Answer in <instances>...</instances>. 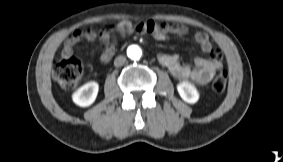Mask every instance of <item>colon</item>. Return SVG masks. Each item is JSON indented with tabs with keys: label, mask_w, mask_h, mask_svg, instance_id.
Here are the masks:
<instances>
[{
	"label": "colon",
	"mask_w": 283,
	"mask_h": 162,
	"mask_svg": "<svg viewBox=\"0 0 283 162\" xmlns=\"http://www.w3.org/2000/svg\"><path fill=\"white\" fill-rule=\"evenodd\" d=\"M83 67L81 62L75 57L64 58L59 61L54 69V77L65 89L75 87L82 75ZM227 85V72L218 70L213 81L212 88L216 93H222Z\"/></svg>",
	"instance_id": "1"
}]
</instances>
